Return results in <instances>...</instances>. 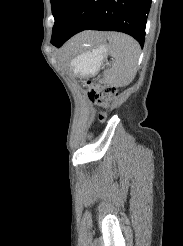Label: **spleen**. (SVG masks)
Listing matches in <instances>:
<instances>
[{"label": "spleen", "mask_w": 183, "mask_h": 246, "mask_svg": "<svg viewBox=\"0 0 183 246\" xmlns=\"http://www.w3.org/2000/svg\"><path fill=\"white\" fill-rule=\"evenodd\" d=\"M109 41V54L115 58L112 67L104 73L105 81L110 85L125 86L136 76L140 46L132 37L117 32L105 34Z\"/></svg>", "instance_id": "1"}]
</instances>
